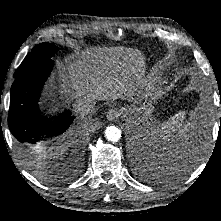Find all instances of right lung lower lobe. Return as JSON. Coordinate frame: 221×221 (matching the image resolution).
<instances>
[{
	"label": "right lung lower lobe",
	"instance_id": "98d812e1",
	"mask_svg": "<svg viewBox=\"0 0 221 221\" xmlns=\"http://www.w3.org/2000/svg\"><path fill=\"white\" fill-rule=\"evenodd\" d=\"M53 63L48 59L34 65L15 77L11 88L8 125L25 151L30 152L43 138L62 134L74 120L71 112H65L53 121L41 115L38 101Z\"/></svg>",
	"mask_w": 221,
	"mask_h": 221
}]
</instances>
